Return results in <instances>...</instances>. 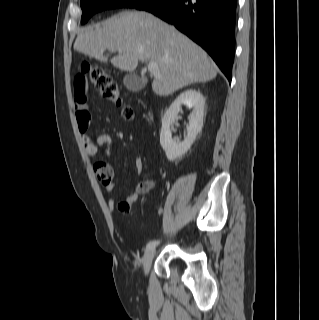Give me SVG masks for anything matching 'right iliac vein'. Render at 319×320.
Segmentation results:
<instances>
[{
    "instance_id": "right-iliac-vein-1",
    "label": "right iliac vein",
    "mask_w": 319,
    "mask_h": 320,
    "mask_svg": "<svg viewBox=\"0 0 319 320\" xmlns=\"http://www.w3.org/2000/svg\"><path fill=\"white\" fill-rule=\"evenodd\" d=\"M155 255V250L151 249V250H147L144 255H143V259H142V263H143V269L145 273H148L150 266L152 264V260L154 258Z\"/></svg>"
}]
</instances>
